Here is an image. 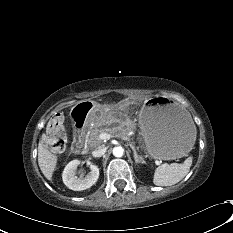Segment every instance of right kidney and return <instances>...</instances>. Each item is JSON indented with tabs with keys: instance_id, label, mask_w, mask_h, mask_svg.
<instances>
[{
	"instance_id": "right-kidney-1",
	"label": "right kidney",
	"mask_w": 233,
	"mask_h": 233,
	"mask_svg": "<svg viewBox=\"0 0 233 233\" xmlns=\"http://www.w3.org/2000/svg\"><path fill=\"white\" fill-rule=\"evenodd\" d=\"M80 163L79 160H72L66 165L62 174L64 184L74 191L90 188L96 183L99 177V168L94 164L90 165L91 171L85 177H83L84 175L82 173L78 177L76 169Z\"/></svg>"
}]
</instances>
